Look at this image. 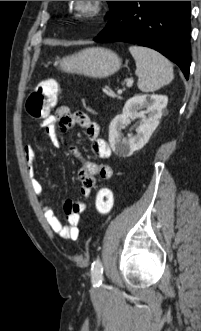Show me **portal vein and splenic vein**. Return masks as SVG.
Wrapping results in <instances>:
<instances>
[{"label":"portal vein and splenic vein","mask_w":201,"mask_h":331,"mask_svg":"<svg viewBox=\"0 0 201 331\" xmlns=\"http://www.w3.org/2000/svg\"><path fill=\"white\" fill-rule=\"evenodd\" d=\"M133 82H134L133 78L128 79V80L126 81V86H127V87H131L132 84H133ZM121 92H122L121 90L118 91V93H121Z\"/></svg>","instance_id":"portal-vein-and-splenic-vein-1"}]
</instances>
